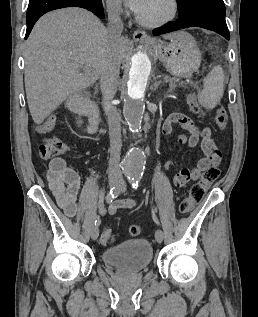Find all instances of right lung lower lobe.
I'll return each mask as SVG.
<instances>
[{"mask_svg":"<svg viewBox=\"0 0 258 317\" xmlns=\"http://www.w3.org/2000/svg\"><path fill=\"white\" fill-rule=\"evenodd\" d=\"M64 7L85 8L99 18H104V10L101 0H29L26 14L27 30L25 39L30 34L35 22L45 13Z\"/></svg>","mask_w":258,"mask_h":317,"instance_id":"98d812e1","label":"right lung lower lobe"}]
</instances>
